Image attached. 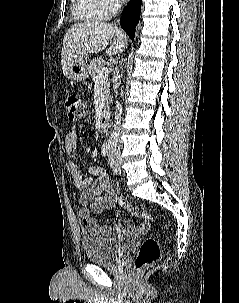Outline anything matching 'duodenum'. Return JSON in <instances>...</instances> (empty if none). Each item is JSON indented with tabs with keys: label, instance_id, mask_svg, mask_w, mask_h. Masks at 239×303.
Segmentation results:
<instances>
[{
	"label": "duodenum",
	"instance_id": "duodenum-1",
	"mask_svg": "<svg viewBox=\"0 0 239 303\" xmlns=\"http://www.w3.org/2000/svg\"><path fill=\"white\" fill-rule=\"evenodd\" d=\"M99 128L102 131H106L109 127V113L108 111H103L98 119Z\"/></svg>",
	"mask_w": 239,
	"mask_h": 303
}]
</instances>
